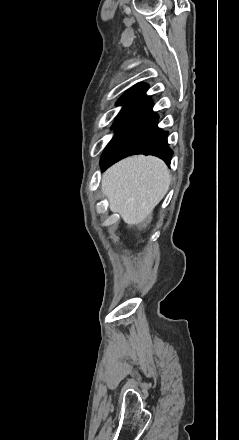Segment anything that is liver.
Wrapping results in <instances>:
<instances>
[{
    "mask_svg": "<svg viewBox=\"0 0 239 440\" xmlns=\"http://www.w3.org/2000/svg\"><path fill=\"white\" fill-rule=\"evenodd\" d=\"M171 176L159 158L131 156L111 166L101 180L102 194L125 224H141L169 190Z\"/></svg>",
    "mask_w": 239,
    "mask_h": 440,
    "instance_id": "obj_1",
    "label": "liver"
}]
</instances>
